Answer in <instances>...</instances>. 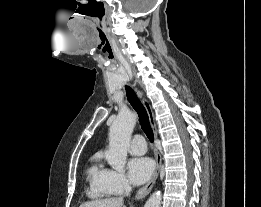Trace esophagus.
Listing matches in <instances>:
<instances>
[{
	"instance_id": "1",
	"label": "esophagus",
	"mask_w": 261,
	"mask_h": 207,
	"mask_svg": "<svg viewBox=\"0 0 261 207\" xmlns=\"http://www.w3.org/2000/svg\"><path fill=\"white\" fill-rule=\"evenodd\" d=\"M138 95L141 98V101L147 111L149 121H150L151 127L154 131V134H155V136H157V127H156V123H155V119H154V112H153L148 100L143 96V94L141 92H138ZM160 168H161V159L157 156L156 170H155L153 176L151 177V179L146 183V185H144L141 189H139V191L136 194V199H138V200L143 199L145 196H147L150 193L153 185L155 184V182L158 178Z\"/></svg>"
}]
</instances>
